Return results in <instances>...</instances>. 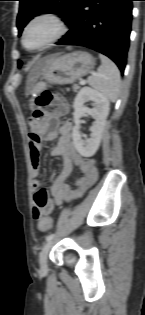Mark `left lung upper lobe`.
<instances>
[{"instance_id":"obj_1","label":"left lung upper lobe","mask_w":145,"mask_h":315,"mask_svg":"<svg viewBox=\"0 0 145 315\" xmlns=\"http://www.w3.org/2000/svg\"><path fill=\"white\" fill-rule=\"evenodd\" d=\"M20 1L19 13L17 16V28L19 36L25 25L36 15L44 13L60 14L66 23L76 0H18ZM21 66L22 62H18Z\"/></svg>"}]
</instances>
